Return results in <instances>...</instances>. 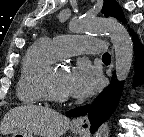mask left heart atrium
I'll list each match as a JSON object with an SVG mask.
<instances>
[{
	"label": "left heart atrium",
	"instance_id": "39dd6f15",
	"mask_svg": "<svg viewBox=\"0 0 144 137\" xmlns=\"http://www.w3.org/2000/svg\"><path fill=\"white\" fill-rule=\"evenodd\" d=\"M99 80L100 75L93 66L80 62L69 72L66 81L67 94L78 99L86 98L97 88Z\"/></svg>",
	"mask_w": 144,
	"mask_h": 137
}]
</instances>
